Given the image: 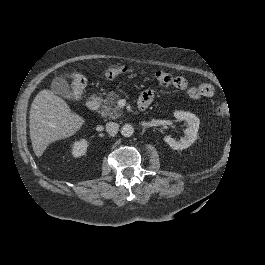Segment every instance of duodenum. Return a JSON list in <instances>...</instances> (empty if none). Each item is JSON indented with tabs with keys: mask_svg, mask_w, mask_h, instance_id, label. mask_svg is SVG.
Masks as SVG:
<instances>
[{
	"mask_svg": "<svg viewBox=\"0 0 265 265\" xmlns=\"http://www.w3.org/2000/svg\"><path fill=\"white\" fill-rule=\"evenodd\" d=\"M99 105H100V100L96 96H92V97L88 98L86 101V107L90 111H96L99 108ZM138 108L140 111H143L146 108V106H144L142 104H138Z\"/></svg>",
	"mask_w": 265,
	"mask_h": 265,
	"instance_id": "duodenum-1",
	"label": "duodenum"
}]
</instances>
